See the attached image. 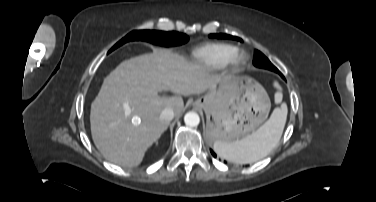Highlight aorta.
<instances>
[{
  "label": "aorta",
  "instance_id": "762f6f07",
  "mask_svg": "<svg viewBox=\"0 0 376 202\" xmlns=\"http://www.w3.org/2000/svg\"><path fill=\"white\" fill-rule=\"evenodd\" d=\"M184 122L187 126L195 127L200 123V117L196 112H187L184 116Z\"/></svg>",
  "mask_w": 376,
  "mask_h": 202
}]
</instances>
